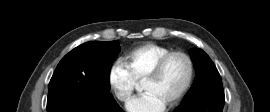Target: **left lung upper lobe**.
<instances>
[{"mask_svg":"<svg viewBox=\"0 0 270 112\" xmlns=\"http://www.w3.org/2000/svg\"><path fill=\"white\" fill-rule=\"evenodd\" d=\"M190 56L196 68V78L180 105L198 102L213 93L224 95L221 77L209 56L197 48L190 50Z\"/></svg>","mask_w":270,"mask_h":112,"instance_id":"left-lung-upper-lobe-1","label":"left lung upper lobe"}]
</instances>
